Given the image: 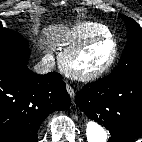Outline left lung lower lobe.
<instances>
[{
	"instance_id": "left-lung-lower-lobe-1",
	"label": "left lung lower lobe",
	"mask_w": 142,
	"mask_h": 142,
	"mask_svg": "<svg viewBox=\"0 0 142 142\" xmlns=\"http://www.w3.org/2000/svg\"><path fill=\"white\" fill-rule=\"evenodd\" d=\"M75 102L109 130L108 142H132L142 135V72L109 75L87 84Z\"/></svg>"
}]
</instances>
